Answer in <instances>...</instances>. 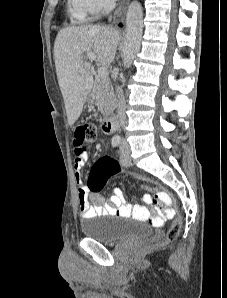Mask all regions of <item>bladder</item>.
<instances>
[{"instance_id":"31cf9c89","label":"bladder","mask_w":227,"mask_h":298,"mask_svg":"<svg viewBox=\"0 0 227 298\" xmlns=\"http://www.w3.org/2000/svg\"><path fill=\"white\" fill-rule=\"evenodd\" d=\"M81 231L85 237L107 245L147 238L152 234L149 225L130 218L87 220L81 224Z\"/></svg>"}]
</instances>
